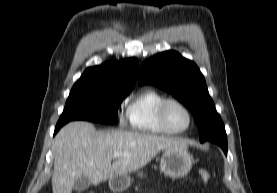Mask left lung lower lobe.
I'll return each mask as SVG.
<instances>
[{"mask_svg":"<svg viewBox=\"0 0 277 193\" xmlns=\"http://www.w3.org/2000/svg\"><path fill=\"white\" fill-rule=\"evenodd\" d=\"M211 141L218 144L223 149L224 153L227 154V135L214 136Z\"/></svg>","mask_w":277,"mask_h":193,"instance_id":"1","label":"left lung lower lobe"}]
</instances>
